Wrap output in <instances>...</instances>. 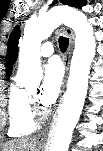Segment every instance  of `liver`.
<instances>
[{
	"label": "liver",
	"mask_w": 103,
	"mask_h": 151,
	"mask_svg": "<svg viewBox=\"0 0 103 151\" xmlns=\"http://www.w3.org/2000/svg\"><path fill=\"white\" fill-rule=\"evenodd\" d=\"M0 151H37L35 137H22L4 143Z\"/></svg>",
	"instance_id": "liver-1"
}]
</instances>
